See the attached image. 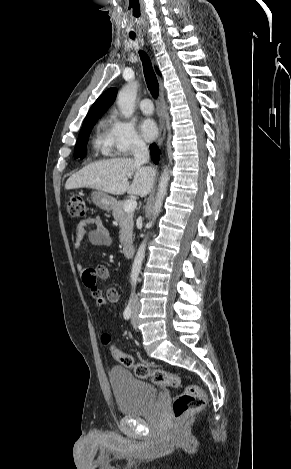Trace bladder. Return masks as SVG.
<instances>
[{"mask_svg":"<svg viewBox=\"0 0 291 469\" xmlns=\"http://www.w3.org/2000/svg\"><path fill=\"white\" fill-rule=\"evenodd\" d=\"M109 380L121 415L139 416L149 412L154 406L156 389L150 383L135 377L126 368H111Z\"/></svg>","mask_w":291,"mask_h":469,"instance_id":"obj_1","label":"bladder"}]
</instances>
